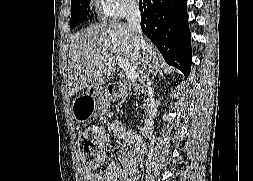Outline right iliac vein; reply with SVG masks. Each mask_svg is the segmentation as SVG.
Masks as SVG:
<instances>
[{
	"instance_id": "obj_1",
	"label": "right iliac vein",
	"mask_w": 253,
	"mask_h": 181,
	"mask_svg": "<svg viewBox=\"0 0 253 181\" xmlns=\"http://www.w3.org/2000/svg\"><path fill=\"white\" fill-rule=\"evenodd\" d=\"M146 181H154L153 178L151 176H148Z\"/></svg>"
}]
</instances>
